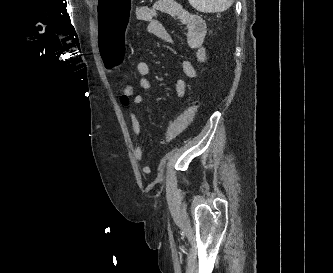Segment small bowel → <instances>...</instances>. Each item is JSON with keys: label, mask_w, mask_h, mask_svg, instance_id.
Masks as SVG:
<instances>
[{"label": "small bowel", "mask_w": 333, "mask_h": 273, "mask_svg": "<svg viewBox=\"0 0 333 273\" xmlns=\"http://www.w3.org/2000/svg\"><path fill=\"white\" fill-rule=\"evenodd\" d=\"M162 15H169L184 26L188 47L196 51L197 61L200 64H204L206 62V52L203 42L206 33V26L203 19L197 14L187 10L174 0H157L152 6L139 7L137 10V18L146 23V33L156 36L169 44H175L176 39L159 20ZM177 63L188 78L195 79L198 76V71L191 62L187 60H178ZM136 71L140 76L139 85L141 89L146 92L152 91L154 89V85L148 77L151 71L150 65L146 61H138L136 64ZM174 91L177 97H185L186 83L183 79L179 78L175 81ZM131 100V105L124 106L129 108V119L136 140L133 154L135 159L138 162H141L143 159V150L139 143V138L142 128L138 115L133 110V107L141 104L143 97L139 94H135L131 96ZM143 171L147 173L149 171V167L143 166Z\"/></svg>", "instance_id": "obj_1"}]
</instances>
